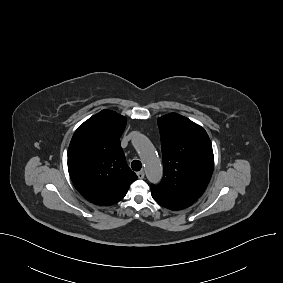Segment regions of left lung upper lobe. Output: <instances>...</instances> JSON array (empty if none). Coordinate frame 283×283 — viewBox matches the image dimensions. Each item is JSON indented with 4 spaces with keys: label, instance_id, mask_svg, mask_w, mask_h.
<instances>
[{
    "label": "left lung upper lobe",
    "instance_id": "obj_1",
    "mask_svg": "<svg viewBox=\"0 0 283 283\" xmlns=\"http://www.w3.org/2000/svg\"><path fill=\"white\" fill-rule=\"evenodd\" d=\"M164 176L151 185L152 197L171 210L184 209L204 193L213 173L214 155L206 131L177 113L158 118Z\"/></svg>",
    "mask_w": 283,
    "mask_h": 283
}]
</instances>
